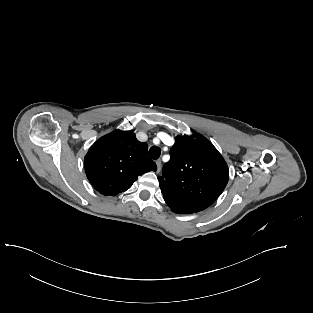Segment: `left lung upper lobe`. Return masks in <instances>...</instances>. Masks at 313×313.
<instances>
[{
    "instance_id": "left-lung-upper-lobe-1",
    "label": "left lung upper lobe",
    "mask_w": 313,
    "mask_h": 313,
    "mask_svg": "<svg viewBox=\"0 0 313 313\" xmlns=\"http://www.w3.org/2000/svg\"><path fill=\"white\" fill-rule=\"evenodd\" d=\"M171 160L158 177L164 199L194 212L209 207L225 189L228 166L213 146L200 134L180 135L170 150Z\"/></svg>"
}]
</instances>
